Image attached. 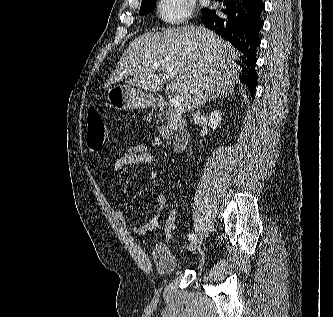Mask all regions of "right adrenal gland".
Here are the masks:
<instances>
[{"label": "right adrenal gland", "mask_w": 333, "mask_h": 317, "mask_svg": "<svg viewBox=\"0 0 333 317\" xmlns=\"http://www.w3.org/2000/svg\"><path fill=\"white\" fill-rule=\"evenodd\" d=\"M230 95H232L233 94V92L232 91H229L228 92ZM227 93H223V94H217V95H215V96H213L211 99H209V101H208V103H210V101H212V100H214V99H216V98H218L219 96H224V95H226Z\"/></svg>", "instance_id": "1"}]
</instances>
